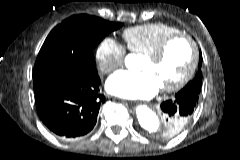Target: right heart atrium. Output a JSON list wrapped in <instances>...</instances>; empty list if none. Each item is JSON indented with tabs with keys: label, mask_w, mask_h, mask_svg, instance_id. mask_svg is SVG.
Returning <instances> with one entry per match:
<instances>
[{
	"label": "right heart atrium",
	"mask_w": 240,
	"mask_h": 160,
	"mask_svg": "<svg viewBox=\"0 0 240 160\" xmlns=\"http://www.w3.org/2000/svg\"><path fill=\"white\" fill-rule=\"evenodd\" d=\"M125 46L113 38H104L96 49V60L100 71L110 74L123 65Z\"/></svg>",
	"instance_id": "1"
}]
</instances>
